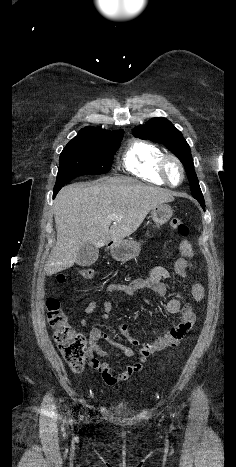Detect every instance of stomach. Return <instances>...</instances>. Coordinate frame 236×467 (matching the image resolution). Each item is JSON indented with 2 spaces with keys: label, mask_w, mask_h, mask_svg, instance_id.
Masks as SVG:
<instances>
[{
  "label": "stomach",
  "mask_w": 236,
  "mask_h": 467,
  "mask_svg": "<svg viewBox=\"0 0 236 467\" xmlns=\"http://www.w3.org/2000/svg\"><path fill=\"white\" fill-rule=\"evenodd\" d=\"M173 209L168 204H159L151 211V216L157 227L170 220ZM111 255L116 261L126 262L137 257L141 251V243L133 240L114 242L110 248Z\"/></svg>",
  "instance_id": "obj_1"
}]
</instances>
